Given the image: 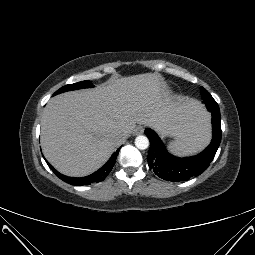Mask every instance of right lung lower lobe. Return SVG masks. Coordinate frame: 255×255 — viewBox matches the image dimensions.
Listing matches in <instances>:
<instances>
[{"label":"right lung lower lobe","mask_w":255,"mask_h":255,"mask_svg":"<svg viewBox=\"0 0 255 255\" xmlns=\"http://www.w3.org/2000/svg\"><path fill=\"white\" fill-rule=\"evenodd\" d=\"M119 150H120V148L117 149V151L113 153L111 158L108 160V162L102 168H100L95 173H93L89 176H86V177H82V178L67 177L65 175H62L58 171H56L47 161L46 162H47L48 166L50 167V169L64 182L69 183L71 185H75V186L90 185V184H94V183L103 181L107 177V175L112 170V168L116 162V157L119 153Z\"/></svg>","instance_id":"right-lung-lower-lobe-1"}]
</instances>
